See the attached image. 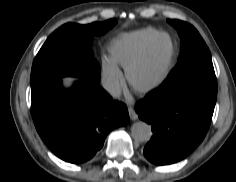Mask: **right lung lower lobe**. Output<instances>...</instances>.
Masks as SVG:
<instances>
[{
    "label": "right lung lower lobe",
    "mask_w": 236,
    "mask_h": 182,
    "mask_svg": "<svg viewBox=\"0 0 236 182\" xmlns=\"http://www.w3.org/2000/svg\"><path fill=\"white\" fill-rule=\"evenodd\" d=\"M32 118L38 134L60 159L83 163L99 151L108 133L129 122L125 104L84 80L66 90L61 79L31 87Z\"/></svg>",
    "instance_id": "right-lung-lower-lobe-1"
}]
</instances>
